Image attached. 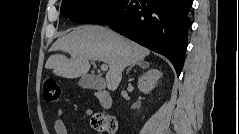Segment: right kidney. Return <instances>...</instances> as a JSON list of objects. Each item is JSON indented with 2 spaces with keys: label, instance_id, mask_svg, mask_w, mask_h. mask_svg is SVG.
Segmentation results:
<instances>
[{
  "label": "right kidney",
  "instance_id": "ca27d5eb",
  "mask_svg": "<svg viewBox=\"0 0 239 134\" xmlns=\"http://www.w3.org/2000/svg\"><path fill=\"white\" fill-rule=\"evenodd\" d=\"M162 77V72L157 69H150L143 73L138 79V88L144 94L150 93Z\"/></svg>",
  "mask_w": 239,
  "mask_h": 134
}]
</instances>
